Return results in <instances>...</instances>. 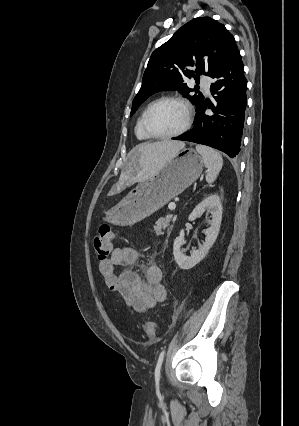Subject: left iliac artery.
Returning <instances> with one entry per match:
<instances>
[{"label": "left iliac artery", "instance_id": "obj_1", "mask_svg": "<svg viewBox=\"0 0 299 426\" xmlns=\"http://www.w3.org/2000/svg\"><path fill=\"white\" fill-rule=\"evenodd\" d=\"M164 354H165V349H163L162 352L160 353L158 361H157V365H156V368H155L156 384H158L159 380H160V370H161L162 362H163V359H164Z\"/></svg>", "mask_w": 299, "mask_h": 426}]
</instances>
